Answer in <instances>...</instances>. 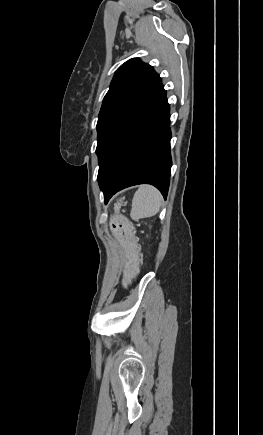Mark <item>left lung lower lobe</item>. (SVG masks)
<instances>
[{"instance_id": "1", "label": "left lung lower lobe", "mask_w": 263, "mask_h": 435, "mask_svg": "<svg viewBox=\"0 0 263 435\" xmlns=\"http://www.w3.org/2000/svg\"><path fill=\"white\" fill-rule=\"evenodd\" d=\"M169 112L163 90L114 142L98 172L105 203L121 189L142 183L154 185L167 197L172 165Z\"/></svg>"}]
</instances>
